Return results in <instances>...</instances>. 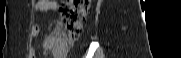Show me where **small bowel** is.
<instances>
[{
    "label": "small bowel",
    "instance_id": "obj_1",
    "mask_svg": "<svg viewBox=\"0 0 181 58\" xmlns=\"http://www.w3.org/2000/svg\"><path fill=\"white\" fill-rule=\"evenodd\" d=\"M58 7V3L55 0H38L35 3V13L36 15H40L47 11H54ZM40 33V29L38 26H35L33 29V36L36 38ZM44 47L48 48V39L44 43Z\"/></svg>",
    "mask_w": 181,
    "mask_h": 58
}]
</instances>
